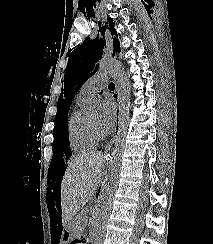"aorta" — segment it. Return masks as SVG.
<instances>
[{"instance_id": "aorta-1", "label": "aorta", "mask_w": 213, "mask_h": 244, "mask_svg": "<svg viewBox=\"0 0 213 244\" xmlns=\"http://www.w3.org/2000/svg\"><path fill=\"white\" fill-rule=\"evenodd\" d=\"M99 69L109 73L116 80L120 107L119 128L115 140V148L110 158L108 174L102 183V188L94 207L92 244H103L106 236L107 221L112 210L114 194L120 178L124 144L130 122L129 83L124 77L122 64L113 58L106 57L100 60ZM102 109L103 103L100 99L92 98L88 101V114L98 115Z\"/></svg>"}]
</instances>
